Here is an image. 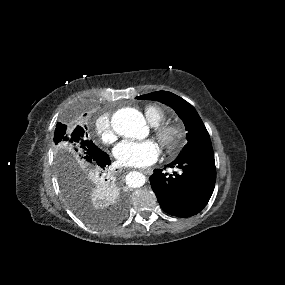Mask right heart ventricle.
<instances>
[{"instance_id": "obj_1", "label": "right heart ventricle", "mask_w": 285, "mask_h": 285, "mask_svg": "<svg viewBox=\"0 0 285 285\" xmlns=\"http://www.w3.org/2000/svg\"><path fill=\"white\" fill-rule=\"evenodd\" d=\"M144 113L152 125L160 124L166 119V111L157 104L147 105L144 108Z\"/></svg>"}]
</instances>
